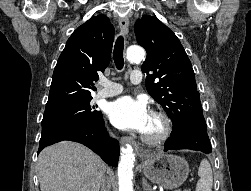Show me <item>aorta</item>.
I'll list each match as a JSON object with an SVG mask.
<instances>
[{
    "instance_id": "obj_1",
    "label": "aorta",
    "mask_w": 251,
    "mask_h": 191,
    "mask_svg": "<svg viewBox=\"0 0 251 191\" xmlns=\"http://www.w3.org/2000/svg\"><path fill=\"white\" fill-rule=\"evenodd\" d=\"M126 58L129 62H142L145 58V52L140 46H130L126 50ZM135 153L131 145L122 147L120 161L118 163V185L119 191H133L132 177L134 167Z\"/></svg>"
}]
</instances>
